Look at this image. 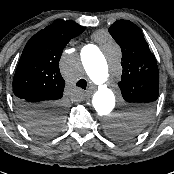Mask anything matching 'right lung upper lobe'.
Returning a JSON list of instances; mask_svg holds the SVG:
<instances>
[{"instance_id":"cb5924a9","label":"right lung upper lobe","mask_w":174,"mask_h":174,"mask_svg":"<svg viewBox=\"0 0 174 174\" xmlns=\"http://www.w3.org/2000/svg\"><path fill=\"white\" fill-rule=\"evenodd\" d=\"M84 28L73 21L56 20L35 34L26 44L13 79L16 100L58 102L65 81L59 70L63 48ZM46 111L26 116L27 124L37 123Z\"/></svg>"}]
</instances>
